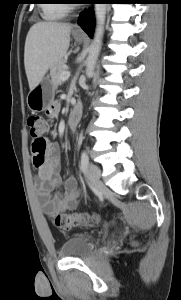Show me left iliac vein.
I'll list each match as a JSON object with an SVG mask.
<instances>
[{"label":"left iliac vein","mask_w":181,"mask_h":300,"mask_svg":"<svg viewBox=\"0 0 181 300\" xmlns=\"http://www.w3.org/2000/svg\"><path fill=\"white\" fill-rule=\"evenodd\" d=\"M87 176L90 182L95 187H100L102 185L101 183V170L100 168L95 164H89L87 167Z\"/></svg>","instance_id":"4c4485c4"}]
</instances>
